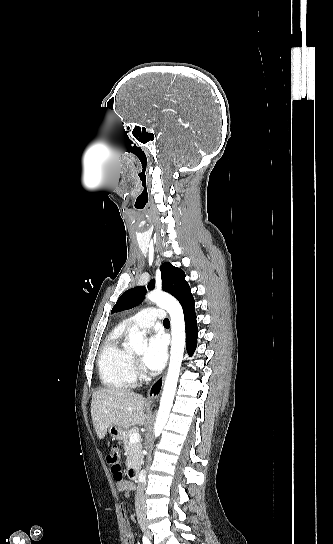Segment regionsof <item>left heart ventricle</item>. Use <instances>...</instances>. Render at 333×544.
<instances>
[{
	"mask_svg": "<svg viewBox=\"0 0 333 544\" xmlns=\"http://www.w3.org/2000/svg\"><path fill=\"white\" fill-rule=\"evenodd\" d=\"M138 354L140 355V354H142V352L140 351V352H138Z\"/></svg>",
	"mask_w": 333,
	"mask_h": 544,
	"instance_id": "b2bd125f",
	"label": "left heart ventricle"
}]
</instances>
